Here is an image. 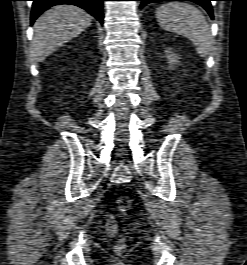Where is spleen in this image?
<instances>
[{
    "label": "spleen",
    "mask_w": 247,
    "mask_h": 265,
    "mask_svg": "<svg viewBox=\"0 0 247 265\" xmlns=\"http://www.w3.org/2000/svg\"><path fill=\"white\" fill-rule=\"evenodd\" d=\"M156 18L165 30L191 40L201 57H206L212 45V35L199 9L183 2H169L156 10Z\"/></svg>",
    "instance_id": "1"
}]
</instances>
